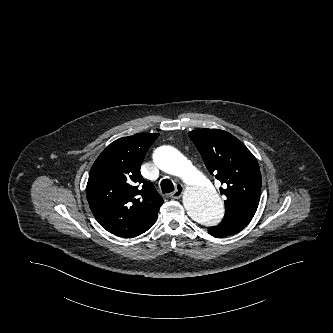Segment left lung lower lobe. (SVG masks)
<instances>
[{"instance_id":"1","label":"left lung lower lobe","mask_w":333,"mask_h":333,"mask_svg":"<svg viewBox=\"0 0 333 333\" xmlns=\"http://www.w3.org/2000/svg\"><path fill=\"white\" fill-rule=\"evenodd\" d=\"M244 226L231 222H221L219 225L208 228V233L215 237H224L236 234L241 231Z\"/></svg>"}]
</instances>
